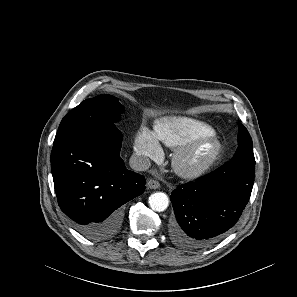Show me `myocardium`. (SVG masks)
Here are the masks:
<instances>
[{"instance_id":"obj_1","label":"myocardium","mask_w":297,"mask_h":297,"mask_svg":"<svg viewBox=\"0 0 297 297\" xmlns=\"http://www.w3.org/2000/svg\"><path fill=\"white\" fill-rule=\"evenodd\" d=\"M203 144L211 146L209 154L200 162H190V157ZM221 152V141L214 133L200 135L176 149L172 157V165L180 177L186 179L197 178L214 166Z\"/></svg>"}]
</instances>
